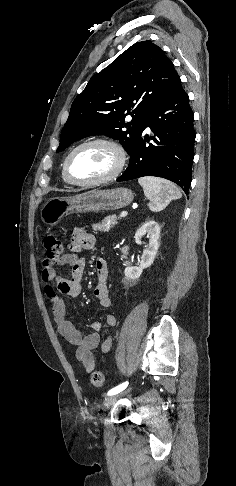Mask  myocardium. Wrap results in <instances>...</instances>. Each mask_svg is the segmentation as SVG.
Segmentation results:
<instances>
[{
  "label": "myocardium",
  "mask_w": 236,
  "mask_h": 486,
  "mask_svg": "<svg viewBox=\"0 0 236 486\" xmlns=\"http://www.w3.org/2000/svg\"><path fill=\"white\" fill-rule=\"evenodd\" d=\"M96 144L106 145V146L110 147L116 153L117 163H116L115 168L106 176H103V177L98 178V179L89 180V181H80V180L75 179L70 173V161H71L72 157L80 149L87 147V146L96 145ZM126 162H127L126 152L118 142L111 140V139H107V138H96V139L85 141V142L77 145L75 148H73L71 150V152L67 155V157L64 161L63 174H64V177L66 178V180L73 185L96 186V185L108 183V182L113 181L116 178H118L121 175V173L123 172V170L126 166Z\"/></svg>",
  "instance_id": "myocardium-1"
}]
</instances>
